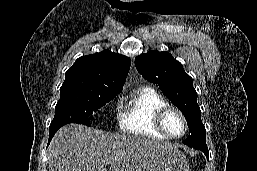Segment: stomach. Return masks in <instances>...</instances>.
Returning a JSON list of instances; mask_svg holds the SVG:
<instances>
[{
  "mask_svg": "<svg viewBox=\"0 0 257 171\" xmlns=\"http://www.w3.org/2000/svg\"><path fill=\"white\" fill-rule=\"evenodd\" d=\"M136 171H190L186 156L178 149L148 152Z\"/></svg>",
  "mask_w": 257,
  "mask_h": 171,
  "instance_id": "stomach-1",
  "label": "stomach"
}]
</instances>
